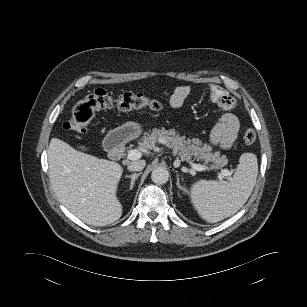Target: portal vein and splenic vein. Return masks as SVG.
Returning a JSON list of instances; mask_svg holds the SVG:
<instances>
[{"mask_svg": "<svg viewBox=\"0 0 307 307\" xmlns=\"http://www.w3.org/2000/svg\"><path fill=\"white\" fill-rule=\"evenodd\" d=\"M141 157V152H139L138 150L136 149H133V150H130L128 152V155H127V158L129 160H137ZM192 168L196 171H204V170H207L208 167L205 166V165H202V164H195V163H192ZM223 176H230V172L229 170L227 169H224L222 170V173L220 175V177H223Z\"/></svg>", "mask_w": 307, "mask_h": 307, "instance_id": "obj_1", "label": "portal vein and splenic vein"}]
</instances>
